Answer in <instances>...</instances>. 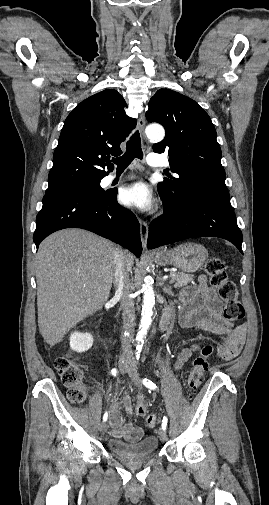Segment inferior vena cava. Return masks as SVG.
I'll list each match as a JSON object with an SVG mask.
<instances>
[{"mask_svg":"<svg viewBox=\"0 0 269 505\" xmlns=\"http://www.w3.org/2000/svg\"><path fill=\"white\" fill-rule=\"evenodd\" d=\"M114 285L116 293L122 297L123 328L130 332L134 327L135 309L134 301L130 297L129 267L126 255L121 249L117 250L114 257ZM122 348L125 350L131 349V337L122 338Z\"/></svg>","mask_w":269,"mask_h":505,"instance_id":"inferior-vena-cava-1","label":"inferior vena cava"}]
</instances>
